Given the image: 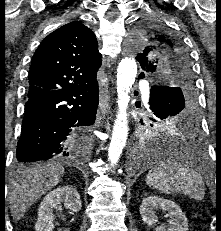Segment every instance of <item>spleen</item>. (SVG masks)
<instances>
[{
	"label": "spleen",
	"instance_id": "spleen-1",
	"mask_svg": "<svg viewBox=\"0 0 221 231\" xmlns=\"http://www.w3.org/2000/svg\"><path fill=\"white\" fill-rule=\"evenodd\" d=\"M146 184L161 193H181L202 200L205 186L201 174L188 163L174 159L158 162L147 174Z\"/></svg>",
	"mask_w": 221,
	"mask_h": 231
}]
</instances>
